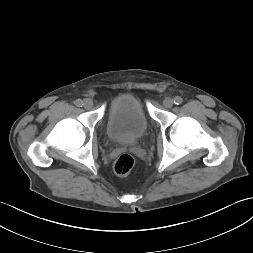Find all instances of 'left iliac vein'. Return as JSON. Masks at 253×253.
<instances>
[{"label":"left iliac vein","mask_w":253,"mask_h":253,"mask_svg":"<svg viewBox=\"0 0 253 253\" xmlns=\"http://www.w3.org/2000/svg\"><path fill=\"white\" fill-rule=\"evenodd\" d=\"M163 105L166 108H171L173 106V100L171 98H165L163 100Z\"/></svg>","instance_id":"left-iliac-vein-1"}]
</instances>
